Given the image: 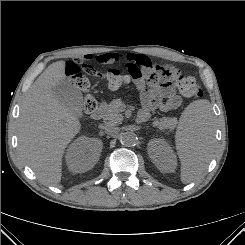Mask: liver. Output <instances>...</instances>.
<instances>
[{
    "mask_svg": "<svg viewBox=\"0 0 245 245\" xmlns=\"http://www.w3.org/2000/svg\"><path fill=\"white\" fill-rule=\"evenodd\" d=\"M65 67V61L52 63L36 79L25 95L18 121L20 156L45 185L61 181L64 151L81 129L78 117L52 93L66 78Z\"/></svg>",
    "mask_w": 245,
    "mask_h": 245,
    "instance_id": "6515ba94",
    "label": "liver"
}]
</instances>
